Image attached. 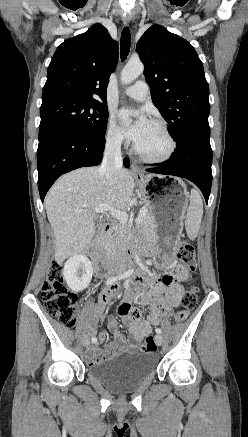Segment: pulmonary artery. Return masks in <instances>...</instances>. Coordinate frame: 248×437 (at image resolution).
<instances>
[{
  "label": "pulmonary artery",
  "mask_w": 248,
  "mask_h": 437,
  "mask_svg": "<svg viewBox=\"0 0 248 437\" xmlns=\"http://www.w3.org/2000/svg\"><path fill=\"white\" fill-rule=\"evenodd\" d=\"M124 94L132 99L143 101L149 94V87L145 81H137L124 90Z\"/></svg>",
  "instance_id": "e3ab8cb5"
}]
</instances>
